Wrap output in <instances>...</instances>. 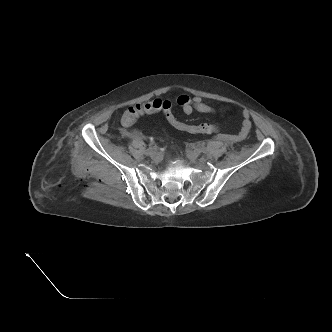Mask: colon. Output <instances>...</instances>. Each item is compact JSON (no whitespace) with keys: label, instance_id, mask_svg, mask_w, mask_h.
I'll use <instances>...</instances> for the list:
<instances>
[{"label":"colon","instance_id":"colon-1","mask_svg":"<svg viewBox=\"0 0 332 332\" xmlns=\"http://www.w3.org/2000/svg\"><path fill=\"white\" fill-rule=\"evenodd\" d=\"M155 113H161L171 127L184 133L192 135L210 134L218 130V125L215 123L204 122L199 124H190L184 121L174 111L172 103L161 98L152 99L130 107L124 112L122 116V123L128 126L133 124L137 118L142 115Z\"/></svg>","mask_w":332,"mask_h":332}]
</instances>
